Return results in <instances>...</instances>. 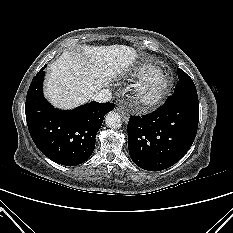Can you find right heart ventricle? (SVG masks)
<instances>
[{"label":"right heart ventricle","instance_id":"1","mask_svg":"<svg viewBox=\"0 0 233 233\" xmlns=\"http://www.w3.org/2000/svg\"><path fill=\"white\" fill-rule=\"evenodd\" d=\"M155 70H157V67L154 65L142 64L133 70L132 75L136 78H144Z\"/></svg>","mask_w":233,"mask_h":233}]
</instances>
